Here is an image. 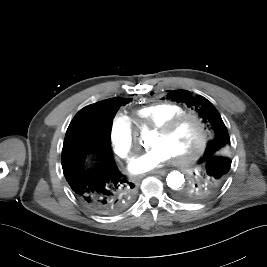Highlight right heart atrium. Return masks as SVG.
<instances>
[{
	"label": "right heart atrium",
	"instance_id": "right-heart-atrium-1",
	"mask_svg": "<svg viewBox=\"0 0 267 267\" xmlns=\"http://www.w3.org/2000/svg\"><path fill=\"white\" fill-rule=\"evenodd\" d=\"M110 139L115 154L125 160L132 157L136 132L129 118L116 114L112 119Z\"/></svg>",
	"mask_w": 267,
	"mask_h": 267
}]
</instances>
